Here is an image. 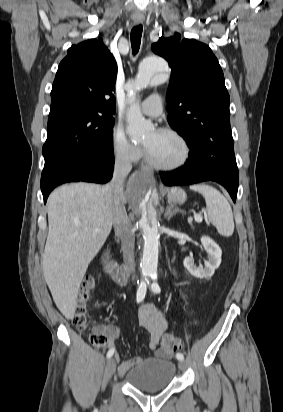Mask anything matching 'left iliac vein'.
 I'll list each match as a JSON object with an SVG mask.
<instances>
[{
    "label": "left iliac vein",
    "mask_w": 283,
    "mask_h": 412,
    "mask_svg": "<svg viewBox=\"0 0 283 412\" xmlns=\"http://www.w3.org/2000/svg\"><path fill=\"white\" fill-rule=\"evenodd\" d=\"M186 367H187V365H186V363H185L183 360L179 361V368H180L181 370H185Z\"/></svg>",
    "instance_id": "4c4485c4"
}]
</instances>
